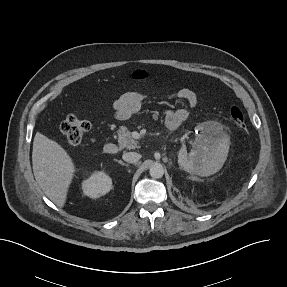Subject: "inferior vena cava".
I'll return each instance as SVG.
<instances>
[{"label":"inferior vena cava","instance_id":"1","mask_svg":"<svg viewBox=\"0 0 287 287\" xmlns=\"http://www.w3.org/2000/svg\"><path fill=\"white\" fill-rule=\"evenodd\" d=\"M122 158L129 163H137L140 160L141 155L136 152H127L123 154Z\"/></svg>","mask_w":287,"mask_h":287}]
</instances>
